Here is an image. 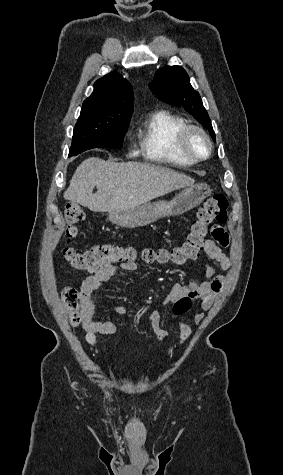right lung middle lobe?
I'll list each match as a JSON object with an SVG mask.
<instances>
[{"label":"right lung middle lobe","instance_id":"dd1d6c3e","mask_svg":"<svg viewBox=\"0 0 283 475\" xmlns=\"http://www.w3.org/2000/svg\"><path fill=\"white\" fill-rule=\"evenodd\" d=\"M133 105H84L74 128L69 156L92 148H121Z\"/></svg>","mask_w":283,"mask_h":475}]
</instances>
